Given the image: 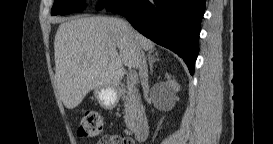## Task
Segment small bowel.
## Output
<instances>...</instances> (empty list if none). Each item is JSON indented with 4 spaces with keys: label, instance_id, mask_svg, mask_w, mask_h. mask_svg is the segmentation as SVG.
Here are the masks:
<instances>
[{
    "label": "small bowel",
    "instance_id": "c3829d8e",
    "mask_svg": "<svg viewBox=\"0 0 273 144\" xmlns=\"http://www.w3.org/2000/svg\"><path fill=\"white\" fill-rule=\"evenodd\" d=\"M98 143L100 144H130L131 140L121 136H105Z\"/></svg>",
    "mask_w": 273,
    "mask_h": 144
}]
</instances>
